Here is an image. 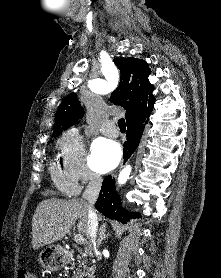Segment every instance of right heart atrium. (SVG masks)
Instances as JSON below:
<instances>
[{
  "instance_id": "d8ad5b80",
  "label": "right heart atrium",
  "mask_w": 221,
  "mask_h": 278,
  "mask_svg": "<svg viewBox=\"0 0 221 278\" xmlns=\"http://www.w3.org/2000/svg\"><path fill=\"white\" fill-rule=\"evenodd\" d=\"M59 148L64 167L77 183H93L99 179L90 163L86 144L77 130L65 133Z\"/></svg>"
}]
</instances>
